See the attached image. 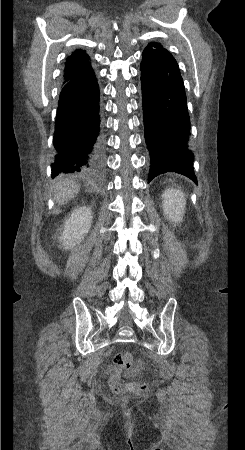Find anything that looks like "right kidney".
Masks as SVG:
<instances>
[{
    "label": "right kidney",
    "mask_w": 245,
    "mask_h": 450,
    "mask_svg": "<svg viewBox=\"0 0 245 450\" xmlns=\"http://www.w3.org/2000/svg\"><path fill=\"white\" fill-rule=\"evenodd\" d=\"M92 223L90 207L81 206L75 209L64 223V230L59 237L63 249H72L84 239Z\"/></svg>",
    "instance_id": "right-kidney-1"
}]
</instances>
